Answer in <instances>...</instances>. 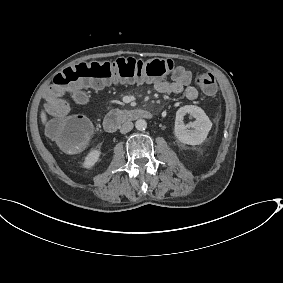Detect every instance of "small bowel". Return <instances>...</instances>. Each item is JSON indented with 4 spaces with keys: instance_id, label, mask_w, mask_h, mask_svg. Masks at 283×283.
Segmentation results:
<instances>
[{
    "instance_id": "small-bowel-1",
    "label": "small bowel",
    "mask_w": 283,
    "mask_h": 283,
    "mask_svg": "<svg viewBox=\"0 0 283 283\" xmlns=\"http://www.w3.org/2000/svg\"><path fill=\"white\" fill-rule=\"evenodd\" d=\"M192 74L182 66H177L172 74L171 81L155 80L154 89L162 94L183 93L188 100L198 97L197 89L191 85ZM68 92L67 88L53 84L47 88L44 97L46 100V111L56 119L63 118L69 112L68 104L63 96Z\"/></svg>"
}]
</instances>
